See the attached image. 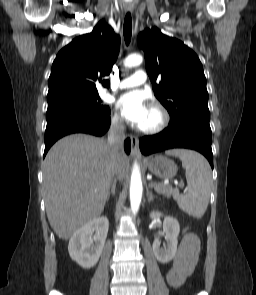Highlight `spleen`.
<instances>
[{
    "label": "spleen",
    "mask_w": 256,
    "mask_h": 295,
    "mask_svg": "<svg viewBox=\"0 0 256 295\" xmlns=\"http://www.w3.org/2000/svg\"><path fill=\"white\" fill-rule=\"evenodd\" d=\"M166 154L179 157L186 171L188 191L180 196L178 206L187 214L201 218L208 207L212 185L209 163L192 150H170Z\"/></svg>",
    "instance_id": "spleen-1"
}]
</instances>
